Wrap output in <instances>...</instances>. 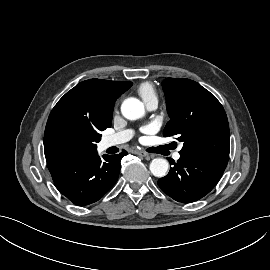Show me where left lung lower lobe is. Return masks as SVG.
<instances>
[{"instance_id": "1", "label": "left lung lower lobe", "mask_w": 270, "mask_h": 270, "mask_svg": "<svg viewBox=\"0 0 270 270\" xmlns=\"http://www.w3.org/2000/svg\"><path fill=\"white\" fill-rule=\"evenodd\" d=\"M170 172L158 180L167 195L182 203L197 201L207 195L220 180L227 162L203 156L182 155Z\"/></svg>"}]
</instances>
